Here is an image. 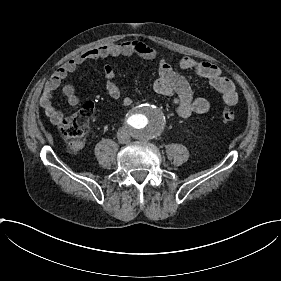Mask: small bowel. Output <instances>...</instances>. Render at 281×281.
Instances as JSON below:
<instances>
[{"mask_svg":"<svg viewBox=\"0 0 281 281\" xmlns=\"http://www.w3.org/2000/svg\"><path fill=\"white\" fill-rule=\"evenodd\" d=\"M122 56H138L146 60L156 61L161 57V53L142 41L131 39L87 49L77 57L69 60L53 75L43 90L41 107L50 118L52 124L59 127L65 122L63 112L52 104V97L60 83L69 74L75 72L81 65L89 61ZM180 66L185 71L209 80L221 92L223 101L227 106L237 104L238 95L235 84L222 74L217 65L209 62H198L190 57H185L181 60ZM102 75L105 79V90L108 95L114 100L123 98V105H129L131 98L128 96L123 97L122 91L116 82L115 69L111 65H105ZM153 88L158 93L172 96V102L177 114L183 119H188L193 113H205L209 110V102L203 97H194L192 95L188 80L173 68L167 57L161 58L158 63L157 78L153 82ZM63 94L66 96L70 106H76L79 103L75 87L72 84H66L63 87Z\"/></svg>","mask_w":281,"mask_h":281,"instance_id":"small-bowel-1","label":"small bowel"}]
</instances>
